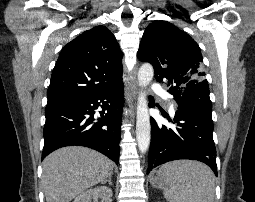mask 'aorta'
<instances>
[{"label":"aorta","mask_w":255,"mask_h":202,"mask_svg":"<svg viewBox=\"0 0 255 202\" xmlns=\"http://www.w3.org/2000/svg\"><path fill=\"white\" fill-rule=\"evenodd\" d=\"M154 76L153 66L149 63H144L138 71V86L139 95L137 101V117H136V139L139 151L146 153L150 146L151 140V124L148 112V104L144 88L151 82Z\"/></svg>","instance_id":"aorta-1"}]
</instances>
